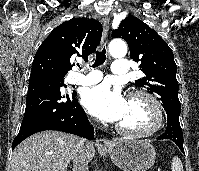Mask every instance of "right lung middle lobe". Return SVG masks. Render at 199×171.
<instances>
[{
	"mask_svg": "<svg viewBox=\"0 0 199 171\" xmlns=\"http://www.w3.org/2000/svg\"><path fill=\"white\" fill-rule=\"evenodd\" d=\"M36 78H48V79H53V80L59 82L61 85H63V80H64V77H60V76H51V75L34 76V77H30V80L36 79Z\"/></svg>",
	"mask_w": 199,
	"mask_h": 171,
	"instance_id": "obj_1",
	"label": "right lung middle lobe"
}]
</instances>
